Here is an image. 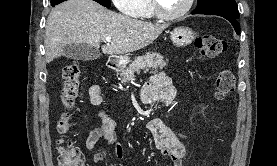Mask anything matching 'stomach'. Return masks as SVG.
I'll use <instances>...</instances> for the list:
<instances>
[{
    "label": "stomach",
    "mask_w": 277,
    "mask_h": 166,
    "mask_svg": "<svg viewBox=\"0 0 277 166\" xmlns=\"http://www.w3.org/2000/svg\"><path fill=\"white\" fill-rule=\"evenodd\" d=\"M195 39V32L189 27H177L171 32V41L178 47L190 45ZM128 56L121 57L123 63L128 62Z\"/></svg>",
    "instance_id": "1"
}]
</instances>
